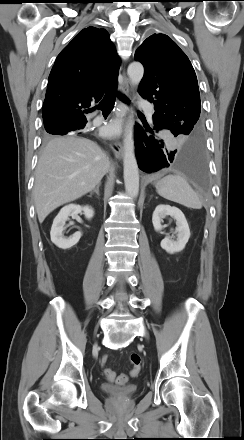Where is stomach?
I'll use <instances>...</instances> for the list:
<instances>
[{"label": "stomach", "instance_id": "0dacf381", "mask_svg": "<svg viewBox=\"0 0 244 440\" xmlns=\"http://www.w3.org/2000/svg\"><path fill=\"white\" fill-rule=\"evenodd\" d=\"M159 177H160V174H157V175L153 176V180H154V184L155 185H157L159 183Z\"/></svg>", "mask_w": 244, "mask_h": 440}]
</instances>
